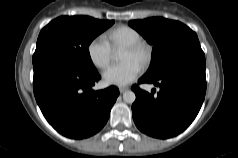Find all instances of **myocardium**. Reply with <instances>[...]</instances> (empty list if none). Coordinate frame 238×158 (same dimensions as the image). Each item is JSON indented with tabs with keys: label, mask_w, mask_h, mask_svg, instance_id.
Returning a JSON list of instances; mask_svg holds the SVG:
<instances>
[{
	"label": "myocardium",
	"mask_w": 238,
	"mask_h": 158,
	"mask_svg": "<svg viewBox=\"0 0 238 158\" xmlns=\"http://www.w3.org/2000/svg\"><path fill=\"white\" fill-rule=\"evenodd\" d=\"M126 50L131 51L140 57V65L146 67L150 64L152 59V48L151 46L144 42L139 41L132 44H129L124 47Z\"/></svg>",
	"instance_id": "myocardium-1"
}]
</instances>
